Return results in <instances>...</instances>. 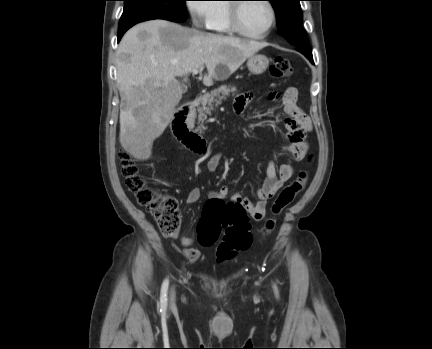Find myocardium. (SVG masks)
<instances>
[{"label":"myocardium","instance_id":"1","mask_svg":"<svg viewBox=\"0 0 432 349\" xmlns=\"http://www.w3.org/2000/svg\"><path fill=\"white\" fill-rule=\"evenodd\" d=\"M235 1H244V0H235ZM262 2L266 3V5L268 6V8L270 9V12H271L270 24H269L268 28L263 33L253 34V33L246 31L242 27L241 20H240V9L245 4V2H233V3L229 4L228 16H229V24H230L231 30L233 32L237 33L238 35H241L243 37L250 38V39H264V38H266L271 33V31L273 30V28L275 27V25L277 23V12H276V8H275L274 4L272 3V1L262 0Z\"/></svg>","mask_w":432,"mask_h":349}]
</instances>
